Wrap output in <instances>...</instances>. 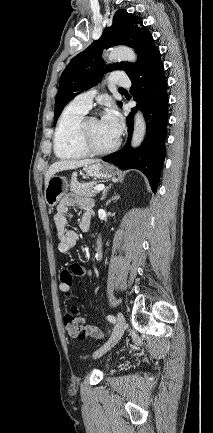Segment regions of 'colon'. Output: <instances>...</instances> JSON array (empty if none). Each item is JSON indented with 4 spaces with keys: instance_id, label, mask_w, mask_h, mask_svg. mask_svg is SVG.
Instances as JSON below:
<instances>
[{
    "instance_id": "1",
    "label": "colon",
    "mask_w": 213,
    "mask_h": 433,
    "mask_svg": "<svg viewBox=\"0 0 213 433\" xmlns=\"http://www.w3.org/2000/svg\"><path fill=\"white\" fill-rule=\"evenodd\" d=\"M73 271L65 269L61 274V281L65 284L71 285L73 283ZM63 324L67 334L70 337L85 338L87 336H93L96 332H89L85 326V322L82 317L78 315L77 307H71L70 311L63 316Z\"/></svg>"
}]
</instances>
